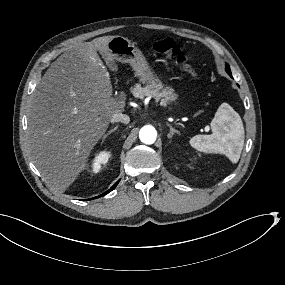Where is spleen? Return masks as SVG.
<instances>
[{"mask_svg": "<svg viewBox=\"0 0 285 285\" xmlns=\"http://www.w3.org/2000/svg\"><path fill=\"white\" fill-rule=\"evenodd\" d=\"M227 112L216 114L211 121L212 135H196L191 138L190 145L198 151L205 153L220 152L226 154L233 163H237L240 158V153L244 144V130L241 127L235 128L233 131H228L217 137V125L219 120L224 123L227 120ZM230 146V147H229ZM238 147V153H232Z\"/></svg>", "mask_w": 285, "mask_h": 285, "instance_id": "1", "label": "spleen"}]
</instances>
